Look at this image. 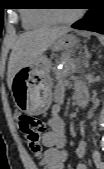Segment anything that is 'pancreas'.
<instances>
[{
  "instance_id": "cf45deb5",
  "label": "pancreas",
  "mask_w": 104,
  "mask_h": 169,
  "mask_svg": "<svg viewBox=\"0 0 104 169\" xmlns=\"http://www.w3.org/2000/svg\"><path fill=\"white\" fill-rule=\"evenodd\" d=\"M64 67L61 70H56V77L61 80L68 77L70 74L74 73L78 67L75 60L70 58L69 54H65L61 58Z\"/></svg>"
}]
</instances>
